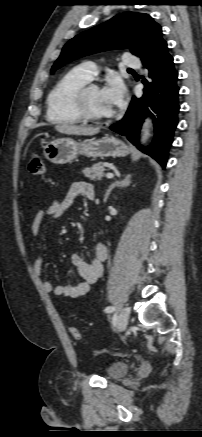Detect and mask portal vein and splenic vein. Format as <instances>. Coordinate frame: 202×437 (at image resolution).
Wrapping results in <instances>:
<instances>
[{"label":"portal vein and splenic vein","mask_w":202,"mask_h":437,"mask_svg":"<svg viewBox=\"0 0 202 437\" xmlns=\"http://www.w3.org/2000/svg\"><path fill=\"white\" fill-rule=\"evenodd\" d=\"M106 177L109 178V179H110V178H113V177H114V174H113V173H107V174H106Z\"/></svg>","instance_id":"1"}]
</instances>
